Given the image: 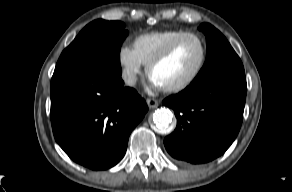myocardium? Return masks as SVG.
Returning <instances> with one entry per match:
<instances>
[{
  "label": "myocardium",
  "mask_w": 292,
  "mask_h": 192,
  "mask_svg": "<svg viewBox=\"0 0 292 192\" xmlns=\"http://www.w3.org/2000/svg\"><path fill=\"white\" fill-rule=\"evenodd\" d=\"M186 38H194L196 39L200 46H201V59L194 70V72L187 77L185 80L178 82L174 85L161 87V89L164 92L168 93H174L182 91L186 88H188L190 85H192L197 78L201 75L202 71L204 70L208 58V49L205 39L198 33L195 32H185L176 38H174L161 52H159L157 55H155L147 64H146V74L148 77H150L151 70L164 60H166L176 49V47L179 45L181 41H183Z\"/></svg>",
  "instance_id": "myocardium-1"
}]
</instances>
